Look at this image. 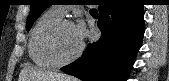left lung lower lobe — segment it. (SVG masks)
Listing matches in <instances>:
<instances>
[{"label": "left lung lower lobe", "mask_w": 169, "mask_h": 81, "mask_svg": "<svg viewBox=\"0 0 169 81\" xmlns=\"http://www.w3.org/2000/svg\"><path fill=\"white\" fill-rule=\"evenodd\" d=\"M97 42L61 68L82 81H125L145 31L143 5L137 0H100Z\"/></svg>", "instance_id": "obj_1"}]
</instances>
